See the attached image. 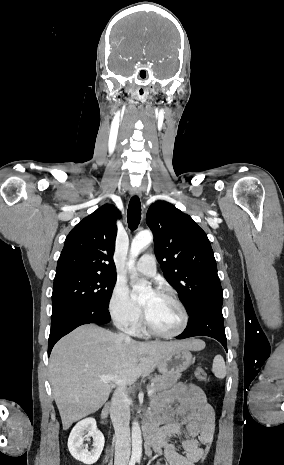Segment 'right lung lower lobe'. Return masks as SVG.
Here are the masks:
<instances>
[{"instance_id": "1", "label": "right lung lower lobe", "mask_w": 284, "mask_h": 465, "mask_svg": "<svg viewBox=\"0 0 284 465\" xmlns=\"http://www.w3.org/2000/svg\"><path fill=\"white\" fill-rule=\"evenodd\" d=\"M110 322L108 308L89 305H72L52 315L51 330L48 340V356L55 343L76 327L88 324H106Z\"/></svg>"}]
</instances>
